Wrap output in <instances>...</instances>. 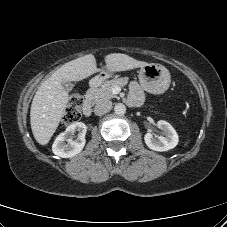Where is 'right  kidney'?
Instances as JSON below:
<instances>
[{
	"label": "right kidney",
	"mask_w": 227,
	"mask_h": 227,
	"mask_svg": "<svg viewBox=\"0 0 227 227\" xmlns=\"http://www.w3.org/2000/svg\"><path fill=\"white\" fill-rule=\"evenodd\" d=\"M86 131L87 127L84 123H72L55 139L52 145L53 153L62 158H70L77 155L84 148ZM75 133L78 134V137L76 140H73Z\"/></svg>",
	"instance_id": "obj_1"
}]
</instances>
